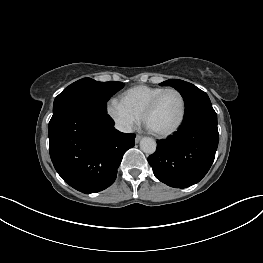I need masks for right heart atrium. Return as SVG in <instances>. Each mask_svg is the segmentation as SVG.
<instances>
[{
    "label": "right heart atrium",
    "mask_w": 263,
    "mask_h": 263,
    "mask_svg": "<svg viewBox=\"0 0 263 263\" xmlns=\"http://www.w3.org/2000/svg\"><path fill=\"white\" fill-rule=\"evenodd\" d=\"M106 110L116 127L122 132H131L141 121L140 116L129 110L122 101L117 99H111L107 103Z\"/></svg>",
    "instance_id": "right-heart-atrium-1"
}]
</instances>
